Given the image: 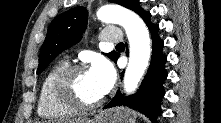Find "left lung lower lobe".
I'll use <instances>...</instances> for the list:
<instances>
[{
  "instance_id": "left-lung-lower-lobe-1",
  "label": "left lung lower lobe",
  "mask_w": 221,
  "mask_h": 123,
  "mask_svg": "<svg viewBox=\"0 0 221 123\" xmlns=\"http://www.w3.org/2000/svg\"><path fill=\"white\" fill-rule=\"evenodd\" d=\"M138 14L146 22L152 35L153 51L148 72L136 94L124 97L122 93L118 91L115 97L104 108L128 106L145 114L155 123L156 117L160 113L161 100L165 94L163 83L168 74L165 70L167 57L162 52L163 40L157 35L159 26L151 23L149 20L151 14L142 9L138 11ZM119 56L118 54L114 61H116ZM123 74L124 72L121 78H123Z\"/></svg>"
}]
</instances>
